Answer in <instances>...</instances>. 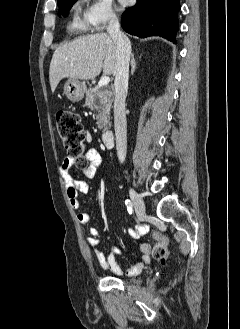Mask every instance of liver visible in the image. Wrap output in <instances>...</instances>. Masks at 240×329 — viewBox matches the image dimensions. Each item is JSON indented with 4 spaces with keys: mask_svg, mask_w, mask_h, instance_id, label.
Listing matches in <instances>:
<instances>
[{
    "mask_svg": "<svg viewBox=\"0 0 240 329\" xmlns=\"http://www.w3.org/2000/svg\"><path fill=\"white\" fill-rule=\"evenodd\" d=\"M116 72V45L106 33L79 37L58 47L51 59L49 81L54 92L63 78L88 80Z\"/></svg>",
    "mask_w": 240,
    "mask_h": 329,
    "instance_id": "liver-1",
    "label": "liver"
}]
</instances>
